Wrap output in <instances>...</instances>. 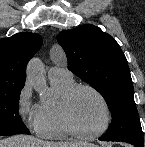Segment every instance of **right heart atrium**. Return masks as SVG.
<instances>
[{
	"instance_id": "obj_1",
	"label": "right heart atrium",
	"mask_w": 145,
	"mask_h": 147,
	"mask_svg": "<svg viewBox=\"0 0 145 147\" xmlns=\"http://www.w3.org/2000/svg\"><path fill=\"white\" fill-rule=\"evenodd\" d=\"M16 108L24 125L37 132L40 121L39 106L32 102V90L28 82L22 86L18 93Z\"/></svg>"
}]
</instances>
